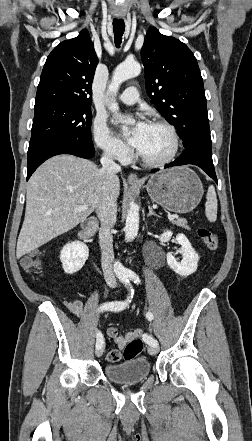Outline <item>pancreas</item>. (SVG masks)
<instances>
[{
    "label": "pancreas",
    "instance_id": "cf45deb5",
    "mask_svg": "<svg viewBox=\"0 0 252 441\" xmlns=\"http://www.w3.org/2000/svg\"><path fill=\"white\" fill-rule=\"evenodd\" d=\"M173 224H175L176 226L182 227L186 230H189V226L187 225V221L184 219H178L176 221L173 222Z\"/></svg>",
    "mask_w": 252,
    "mask_h": 441
}]
</instances>
